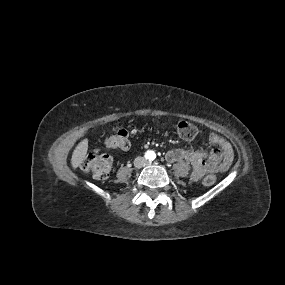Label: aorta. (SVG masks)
I'll use <instances>...</instances> for the list:
<instances>
[{"mask_svg": "<svg viewBox=\"0 0 285 285\" xmlns=\"http://www.w3.org/2000/svg\"><path fill=\"white\" fill-rule=\"evenodd\" d=\"M146 158L148 160H154L156 158V153L153 150H148L146 152Z\"/></svg>", "mask_w": 285, "mask_h": 285, "instance_id": "1", "label": "aorta"}]
</instances>
